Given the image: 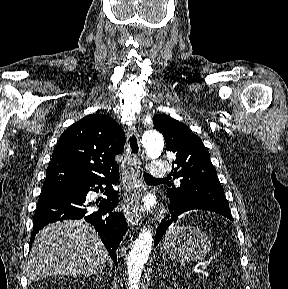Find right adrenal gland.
<instances>
[{
    "mask_svg": "<svg viewBox=\"0 0 288 289\" xmlns=\"http://www.w3.org/2000/svg\"><path fill=\"white\" fill-rule=\"evenodd\" d=\"M101 273L102 271H99L97 273H94L93 274V278L96 280V282L100 283V280H101Z\"/></svg>",
    "mask_w": 288,
    "mask_h": 289,
    "instance_id": "2a0ac1e0",
    "label": "right adrenal gland"
}]
</instances>
